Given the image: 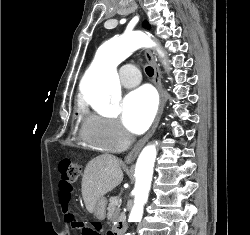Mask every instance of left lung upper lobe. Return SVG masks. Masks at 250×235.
Returning <instances> with one entry per match:
<instances>
[{
    "label": "left lung upper lobe",
    "instance_id": "obj_1",
    "mask_svg": "<svg viewBox=\"0 0 250 235\" xmlns=\"http://www.w3.org/2000/svg\"><path fill=\"white\" fill-rule=\"evenodd\" d=\"M143 26H144L145 28H150L149 24H148L146 21L143 23Z\"/></svg>",
    "mask_w": 250,
    "mask_h": 235
}]
</instances>
